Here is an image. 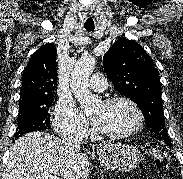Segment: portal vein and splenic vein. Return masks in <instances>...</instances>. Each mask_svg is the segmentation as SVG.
I'll use <instances>...</instances> for the list:
<instances>
[{
	"mask_svg": "<svg viewBox=\"0 0 183 179\" xmlns=\"http://www.w3.org/2000/svg\"><path fill=\"white\" fill-rule=\"evenodd\" d=\"M50 179H60V178H58L57 176H52L50 177Z\"/></svg>",
	"mask_w": 183,
	"mask_h": 179,
	"instance_id": "obj_1",
	"label": "portal vein and splenic vein"
}]
</instances>
